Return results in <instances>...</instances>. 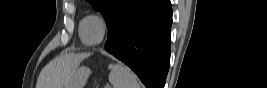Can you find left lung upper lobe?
<instances>
[{
	"label": "left lung upper lobe",
	"mask_w": 267,
	"mask_h": 88,
	"mask_svg": "<svg viewBox=\"0 0 267 88\" xmlns=\"http://www.w3.org/2000/svg\"><path fill=\"white\" fill-rule=\"evenodd\" d=\"M95 10L103 13L108 30L120 16V14L134 0H87Z\"/></svg>",
	"instance_id": "left-lung-upper-lobe-1"
}]
</instances>
